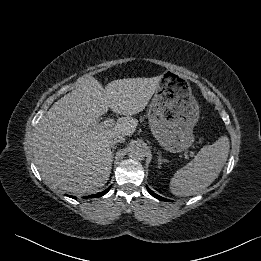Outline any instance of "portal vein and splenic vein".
<instances>
[{"label":"portal vein and splenic vein","mask_w":261,"mask_h":261,"mask_svg":"<svg viewBox=\"0 0 261 261\" xmlns=\"http://www.w3.org/2000/svg\"><path fill=\"white\" fill-rule=\"evenodd\" d=\"M115 124V121L114 119L112 118H108V119H105L103 122H101L100 124H95V127H113ZM188 154L191 156V157H194L195 156V153L193 151H189Z\"/></svg>","instance_id":"18ae733b"}]
</instances>
